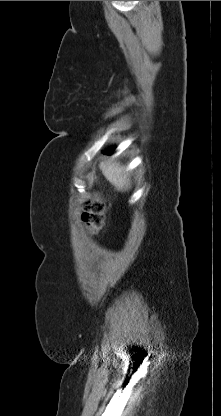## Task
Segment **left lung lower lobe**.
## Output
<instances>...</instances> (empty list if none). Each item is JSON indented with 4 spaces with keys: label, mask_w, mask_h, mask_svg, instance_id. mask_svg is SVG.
<instances>
[{
    "label": "left lung lower lobe",
    "mask_w": 221,
    "mask_h": 416,
    "mask_svg": "<svg viewBox=\"0 0 221 416\" xmlns=\"http://www.w3.org/2000/svg\"><path fill=\"white\" fill-rule=\"evenodd\" d=\"M114 149H108L106 151H104V154H112Z\"/></svg>",
    "instance_id": "left-lung-lower-lobe-1"
}]
</instances>
